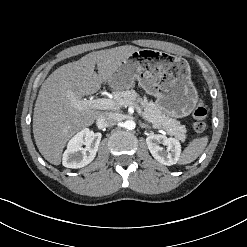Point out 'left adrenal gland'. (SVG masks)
Listing matches in <instances>:
<instances>
[{
  "instance_id": "obj_1",
  "label": "left adrenal gland",
  "mask_w": 247,
  "mask_h": 247,
  "mask_svg": "<svg viewBox=\"0 0 247 247\" xmlns=\"http://www.w3.org/2000/svg\"><path fill=\"white\" fill-rule=\"evenodd\" d=\"M140 127H141V128H150L149 125L144 124V123H142V122H140Z\"/></svg>"
}]
</instances>
